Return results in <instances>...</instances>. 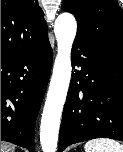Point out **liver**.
I'll list each match as a JSON object with an SVG mask.
<instances>
[{"instance_id": "1", "label": "liver", "mask_w": 123, "mask_h": 152, "mask_svg": "<svg viewBox=\"0 0 123 152\" xmlns=\"http://www.w3.org/2000/svg\"><path fill=\"white\" fill-rule=\"evenodd\" d=\"M15 146L11 143L1 141V152H14Z\"/></svg>"}]
</instances>
